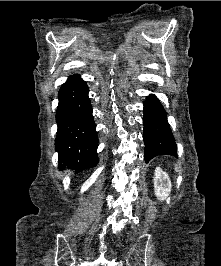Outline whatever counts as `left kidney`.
Instances as JSON below:
<instances>
[{"label":"left kidney","mask_w":221,"mask_h":266,"mask_svg":"<svg viewBox=\"0 0 221 266\" xmlns=\"http://www.w3.org/2000/svg\"><path fill=\"white\" fill-rule=\"evenodd\" d=\"M171 180L166 172L157 167L154 173V192L160 201L166 200L171 192Z\"/></svg>","instance_id":"obj_1"}]
</instances>
